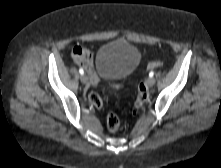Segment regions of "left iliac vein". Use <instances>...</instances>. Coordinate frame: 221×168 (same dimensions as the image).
<instances>
[{"label": "left iliac vein", "mask_w": 221, "mask_h": 168, "mask_svg": "<svg viewBox=\"0 0 221 168\" xmlns=\"http://www.w3.org/2000/svg\"><path fill=\"white\" fill-rule=\"evenodd\" d=\"M155 84V79L153 77H150L148 80H147V85L149 87H152L153 85Z\"/></svg>", "instance_id": "left-iliac-vein-1"}]
</instances>
